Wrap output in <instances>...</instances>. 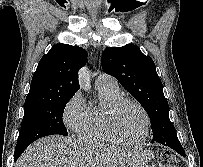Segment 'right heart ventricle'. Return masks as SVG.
I'll list each match as a JSON object with an SVG mask.
<instances>
[{"instance_id": "e07e8e85", "label": "right heart ventricle", "mask_w": 203, "mask_h": 167, "mask_svg": "<svg viewBox=\"0 0 203 167\" xmlns=\"http://www.w3.org/2000/svg\"><path fill=\"white\" fill-rule=\"evenodd\" d=\"M99 104L86 108L84 120L78 130L81 139L98 143H117L106 132L104 120L113 102L124 96L117 84L97 87Z\"/></svg>"}]
</instances>
